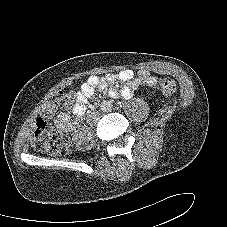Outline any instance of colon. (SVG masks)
Segmentation results:
<instances>
[{"label":"colon","mask_w":227,"mask_h":227,"mask_svg":"<svg viewBox=\"0 0 227 227\" xmlns=\"http://www.w3.org/2000/svg\"><path fill=\"white\" fill-rule=\"evenodd\" d=\"M160 91L170 96L176 92L177 85L173 78L160 75L157 77ZM73 100V94L67 91H59L48 99L42 106V113L37 117L32 136V146L36 151L49 155H65L69 151V140L66 136L59 135L51 127L48 119L58 109L68 108Z\"/></svg>","instance_id":"obj_1"}]
</instances>
